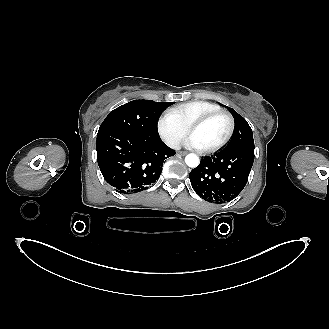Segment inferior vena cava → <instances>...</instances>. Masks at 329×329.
<instances>
[{
    "label": "inferior vena cava",
    "instance_id": "obj_1",
    "mask_svg": "<svg viewBox=\"0 0 329 329\" xmlns=\"http://www.w3.org/2000/svg\"><path fill=\"white\" fill-rule=\"evenodd\" d=\"M170 147L173 148V149H180V144L176 141H172L170 143Z\"/></svg>",
    "mask_w": 329,
    "mask_h": 329
}]
</instances>
